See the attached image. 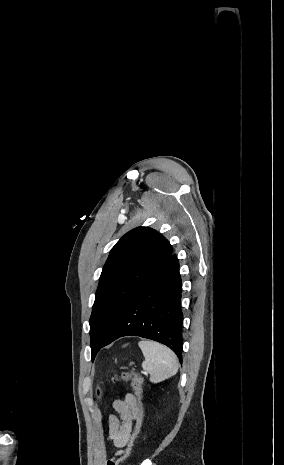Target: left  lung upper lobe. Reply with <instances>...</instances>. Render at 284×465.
Returning <instances> with one entry per match:
<instances>
[{"instance_id":"obj_1","label":"left lung upper lobe","mask_w":284,"mask_h":465,"mask_svg":"<svg viewBox=\"0 0 284 465\" xmlns=\"http://www.w3.org/2000/svg\"><path fill=\"white\" fill-rule=\"evenodd\" d=\"M172 253L168 240L149 227L129 231L111 249L100 276L89 321L92 360L124 307Z\"/></svg>"}]
</instances>
